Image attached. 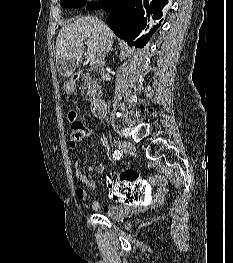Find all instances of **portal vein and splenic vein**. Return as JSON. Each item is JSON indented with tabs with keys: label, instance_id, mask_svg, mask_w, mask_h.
<instances>
[{
	"label": "portal vein and splenic vein",
	"instance_id": "obj_1",
	"mask_svg": "<svg viewBox=\"0 0 233 263\" xmlns=\"http://www.w3.org/2000/svg\"><path fill=\"white\" fill-rule=\"evenodd\" d=\"M87 61L94 63L95 62V56L93 54L87 55Z\"/></svg>",
	"mask_w": 233,
	"mask_h": 263
}]
</instances>
